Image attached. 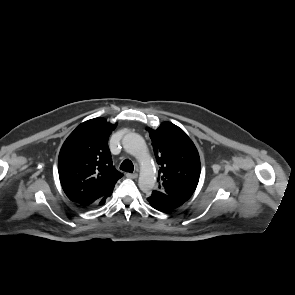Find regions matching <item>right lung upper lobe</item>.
<instances>
[{"mask_svg":"<svg viewBox=\"0 0 295 295\" xmlns=\"http://www.w3.org/2000/svg\"><path fill=\"white\" fill-rule=\"evenodd\" d=\"M116 125L104 118L81 123L65 140L58 171L67 197L82 206L102 198L123 176L112 165L107 142Z\"/></svg>","mask_w":295,"mask_h":295,"instance_id":"right-lung-upper-lobe-1","label":"right lung upper lobe"}]
</instances>
